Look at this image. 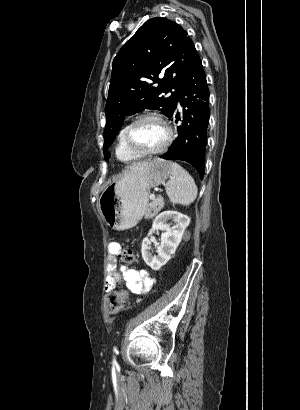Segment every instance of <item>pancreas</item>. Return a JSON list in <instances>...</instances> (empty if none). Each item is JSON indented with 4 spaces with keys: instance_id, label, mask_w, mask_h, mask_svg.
I'll return each mask as SVG.
<instances>
[{
    "instance_id": "1",
    "label": "pancreas",
    "mask_w": 300,
    "mask_h": 410,
    "mask_svg": "<svg viewBox=\"0 0 300 410\" xmlns=\"http://www.w3.org/2000/svg\"><path fill=\"white\" fill-rule=\"evenodd\" d=\"M163 203L160 198H157L150 202L147 206L146 213H145V218L146 219H151L153 218L162 208Z\"/></svg>"
}]
</instances>
